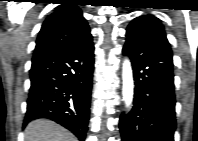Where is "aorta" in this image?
Wrapping results in <instances>:
<instances>
[{"mask_svg": "<svg viewBox=\"0 0 198 141\" xmlns=\"http://www.w3.org/2000/svg\"><path fill=\"white\" fill-rule=\"evenodd\" d=\"M122 95L125 107L129 109L133 102L134 80L131 62L125 59L122 65Z\"/></svg>", "mask_w": 198, "mask_h": 141, "instance_id": "1", "label": "aorta"}]
</instances>
